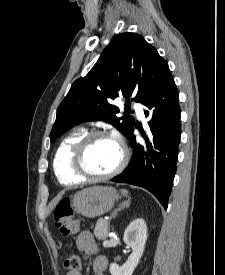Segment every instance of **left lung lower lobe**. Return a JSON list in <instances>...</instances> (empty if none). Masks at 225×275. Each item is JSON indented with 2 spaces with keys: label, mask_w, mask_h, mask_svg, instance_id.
<instances>
[{
  "label": "left lung lower lobe",
  "mask_w": 225,
  "mask_h": 275,
  "mask_svg": "<svg viewBox=\"0 0 225 275\" xmlns=\"http://www.w3.org/2000/svg\"><path fill=\"white\" fill-rule=\"evenodd\" d=\"M179 92L168 69L159 81L144 95L141 103L151 110L145 111L150 130L141 131L145 143L136 141L133 127L125 135L133 148L127 168L112 181L129 183L150 191L166 209L176 172L178 146L181 136Z\"/></svg>",
  "instance_id": "obj_1"
}]
</instances>
